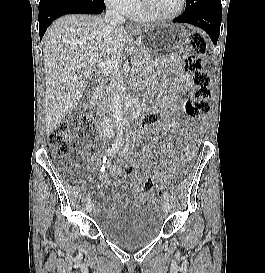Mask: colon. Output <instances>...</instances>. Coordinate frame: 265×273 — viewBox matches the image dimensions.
I'll return each mask as SVG.
<instances>
[{"label":"colon","mask_w":265,"mask_h":273,"mask_svg":"<svg viewBox=\"0 0 265 273\" xmlns=\"http://www.w3.org/2000/svg\"><path fill=\"white\" fill-rule=\"evenodd\" d=\"M207 44L204 37L198 32L190 33L186 38L185 68L193 74L194 101H187L184 111L188 115H206L211 110L210 76L203 70L201 55L205 53ZM158 121L155 112L147 113L142 119V127H150ZM95 130L94 121L88 117H82L70 123L58 124L49 134V143L54 147L56 153L65 157L70 152V135L80 132L83 135L92 134ZM127 175H134L136 169L133 165L125 168ZM145 192L155 194L156 183L152 179H146L143 184Z\"/></svg>","instance_id":"5ec220e1"}]
</instances>
